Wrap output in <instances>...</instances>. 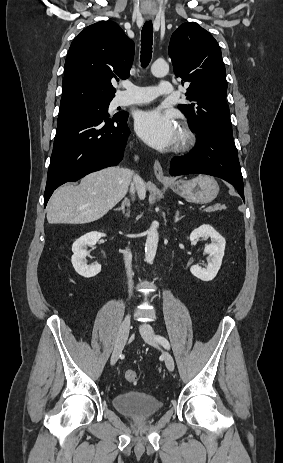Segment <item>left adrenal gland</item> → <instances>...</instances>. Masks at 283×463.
Instances as JSON below:
<instances>
[{
	"mask_svg": "<svg viewBox=\"0 0 283 463\" xmlns=\"http://www.w3.org/2000/svg\"><path fill=\"white\" fill-rule=\"evenodd\" d=\"M183 218V216L180 217V212L177 210L175 212V217H174V222H178L179 220H181Z\"/></svg>",
	"mask_w": 283,
	"mask_h": 463,
	"instance_id": "1",
	"label": "left adrenal gland"
}]
</instances>
